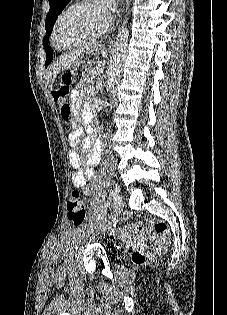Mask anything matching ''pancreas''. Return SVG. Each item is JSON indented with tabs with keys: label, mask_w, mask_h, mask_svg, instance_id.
Segmentation results:
<instances>
[{
	"label": "pancreas",
	"mask_w": 227,
	"mask_h": 315,
	"mask_svg": "<svg viewBox=\"0 0 227 315\" xmlns=\"http://www.w3.org/2000/svg\"><path fill=\"white\" fill-rule=\"evenodd\" d=\"M95 69L90 68L82 73V80L86 83H94L96 77L100 74V72L94 73Z\"/></svg>",
	"instance_id": "obj_1"
}]
</instances>
